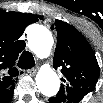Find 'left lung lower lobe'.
I'll return each instance as SVG.
<instances>
[{
  "label": "left lung lower lobe",
  "instance_id": "left-lung-lower-lobe-1",
  "mask_svg": "<svg viewBox=\"0 0 103 103\" xmlns=\"http://www.w3.org/2000/svg\"><path fill=\"white\" fill-rule=\"evenodd\" d=\"M67 95L70 103H78L86 94H84V92L81 90L69 89ZM52 100L53 98L49 99L50 102Z\"/></svg>",
  "mask_w": 103,
  "mask_h": 103
}]
</instances>
